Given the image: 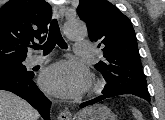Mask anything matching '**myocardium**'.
I'll return each mask as SVG.
<instances>
[{
    "instance_id": "f54148a6",
    "label": "myocardium",
    "mask_w": 165,
    "mask_h": 120,
    "mask_svg": "<svg viewBox=\"0 0 165 120\" xmlns=\"http://www.w3.org/2000/svg\"><path fill=\"white\" fill-rule=\"evenodd\" d=\"M104 83L100 80L92 82L89 88V94H95L102 90Z\"/></svg>"
}]
</instances>
